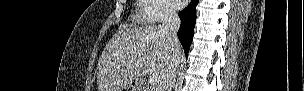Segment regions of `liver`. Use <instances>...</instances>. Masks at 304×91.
Returning <instances> with one entry per match:
<instances>
[{
	"label": "liver",
	"mask_w": 304,
	"mask_h": 91,
	"mask_svg": "<svg viewBox=\"0 0 304 91\" xmlns=\"http://www.w3.org/2000/svg\"><path fill=\"white\" fill-rule=\"evenodd\" d=\"M169 60L168 41L162 26L121 29L113 35L99 58L98 91H121L140 72L158 81Z\"/></svg>",
	"instance_id": "obj_1"
}]
</instances>
